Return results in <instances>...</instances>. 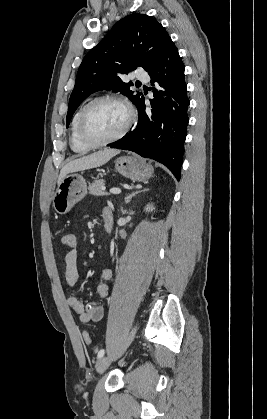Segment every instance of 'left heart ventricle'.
<instances>
[{
  "label": "left heart ventricle",
  "mask_w": 267,
  "mask_h": 419,
  "mask_svg": "<svg viewBox=\"0 0 267 419\" xmlns=\"http://www.w3.org/2000/svg\"><path fill=\"white\" fill-rule=\"evenodd\" d=\"M126 120L127 111L122 104L114 101L100 102L88 111L84 131L92 140H105L117 134Z\"/></svg>",
  "instance_id": "b2bd125f"
}]
</instances>
